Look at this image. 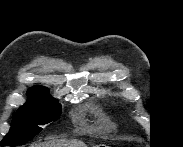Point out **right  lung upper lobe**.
Masks as SVG:
<instances>
[{
    "mask_svg": "<svg viewBox=\"0 0 183 147\" xmlns=\"http://www.w3.org/2000/svg\"><path fill=\"white\" fill-rule=\"evenodd\" d=\"M29 90H41V91H48L47 88L42 86H35L33 88H30Z\"/></svg>",
    "mask_w": 183,
    "mask_h": 147,
    "instance_id": "right-lung-upper-lobe-1",
    "label": "right lung upper lobe"
}]
</instances>
